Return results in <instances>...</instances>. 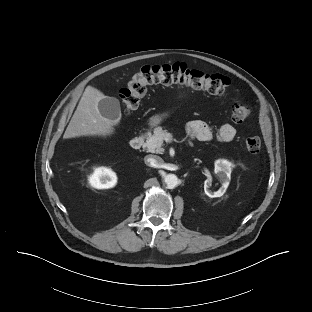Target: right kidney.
I'll return each mask as SVG.
<instances>
[{"instance_id": "ca27d5eb", "label": "right kidney", "mask_w": 312, "mask_h": 312, "mask_svg": "<svg viewBox=\"0 0 312 312\" xmlns=\"http://www.w3.org/2000/svg\"><path fill=\"white\" fill-rule=\"evenodd\" d=\"M89 181L90 184L97 189H108L115 186L117 177L111 169L100 167L95 169Z\"/></svg>"}]
</instances>
